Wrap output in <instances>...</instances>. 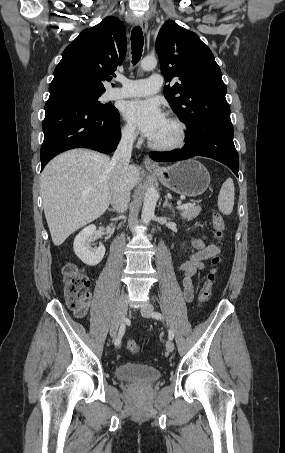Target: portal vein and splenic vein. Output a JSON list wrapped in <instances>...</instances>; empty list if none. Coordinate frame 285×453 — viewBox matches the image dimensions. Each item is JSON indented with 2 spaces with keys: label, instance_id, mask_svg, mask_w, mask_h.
I'll return each mask as SVG.
<instances>
[{
  "label": "portal vein and splenic vein",
  "instance_id": "1",
  "mask_svg": "<svg viewBox=\"0 0 285 453\" xmlns=\"http://www.w3.org/2000/svg\"><path fill=\"white\" fill-rule=\"evenodd\" d=\"M177 205H178V206H177V209H185V208H188V207L192 206L191 203H188V204H181V202H178Z\"/></svg>",
  "mask_w": 285,
  "mask_h": 453
}]
</instances>
